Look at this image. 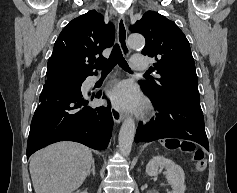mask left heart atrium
I'll return each instance as SVG.
<instances>
[{
  "mask_svg": "<svg viewBox=\"0 0 237 193\" xmlns=\"http://www.w3.org/2000/svg\"><path fill=\"white\" fill-rule=\"evenodd\" d=\"M109 100L121 110H139L143 106L142 99L130 83H121L114 87L109 92Z\"/></svg>",
  "mask_w": 237,
  "mask_h": 193,
  "instance_id": "left-heart-atrium-1",
  "label": "left heart atrium"
}]
</instances>
